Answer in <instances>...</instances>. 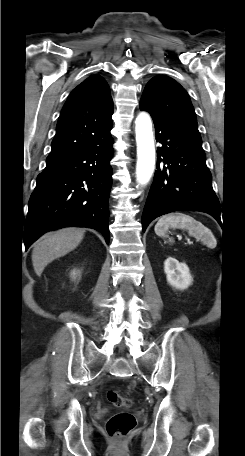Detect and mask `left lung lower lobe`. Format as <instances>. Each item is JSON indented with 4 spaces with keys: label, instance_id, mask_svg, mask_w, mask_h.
Returning <instances> with one entry per match:
<instances>
[{
    "label": "left lung lower lobe",
    "instance_id": "0a47b994",
    "mask_svg": "<svg viewBox=\"0 0 245 456\" xmlns=\"http://www.w3.org/2000/svg\"><path fill=\"white\" fill-rule=\"evenodd\" d=\"M151 116L162 147L157 149V171L142 215L143 232L152 220L174 211L206 212L219 221L220 204L212 188L201 137Z\"/></svg>",
    "mask_w": 245,
    "mask_h": 456
}]
</instances>
